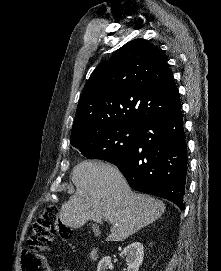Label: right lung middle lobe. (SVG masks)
<instances>
[{"mask_svg": "<svg viewBox=\"0 0 221 271\" xmlns=\"http://www.w3.org/2000/svg\"><path fill=\"white\" fill-rule=\"evenodd\" d=\"M138 133L139 127L136 126H113L71 140V144L88 159H102L113 163L135 145Z\"/></svg>", "mask_w": 221, "mask_h": 271, "instance_id": "dd1d6c3e", "label": "right lung middle lobe"}]
</instances>
